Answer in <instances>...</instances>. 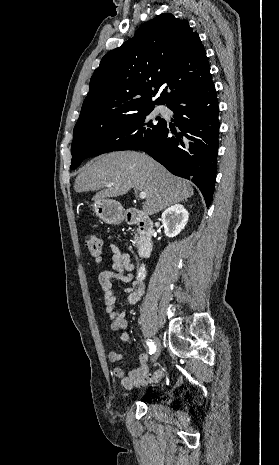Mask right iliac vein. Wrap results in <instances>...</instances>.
<instances>
[{"mask_svg":"<svg viewBox=\"0 0 279 465\" xmlns=\"http://www.w3.org/2000/svg\"><path fill=\"white\" fill-rule=\"evenodd\" d=\"M154 344H155V347H156V351H155V354H154V360H157L161 354V342L158 338H154Z\"/></svg>","mask_w":279,"mask_h":465,"instance_id":"obj_1","label":"right iliac vein"}]
</instances>
